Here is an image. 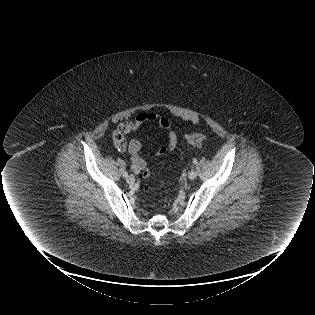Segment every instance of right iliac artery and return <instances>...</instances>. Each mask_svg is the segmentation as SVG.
<instances>
[{
    "label": "right iliac artery",
    "instance_id": "1",
    "mask_svg": "<svg viewBox=\"0 0 315 315\" xmlns=\"http://www.w3.org/2000/svg\"><path fill=\"white\" fill-rule=\"evenodd\" d=\"M123 176L124 177H128V173L127 172H123Z\"/></svg>",
    "mask_w": 315,
    "mask_h": 315
}]
</instances>
